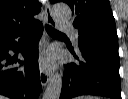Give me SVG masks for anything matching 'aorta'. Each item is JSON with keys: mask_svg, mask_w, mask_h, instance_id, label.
<instances>
[{"mask_svg": "<svg viewBox=\"0 0 128 99\" xmlns=\"http://www.w3.org/2000/svg\"><path fill=\"white\" fill-rule=\"evenodd\" d=\"M52 12L56 20L60 22L69 21L72 15L70 7L63 2L56 3L52 8ZM61 89H62V78L57 73L51 78L43 95V99H59L61 94Z\"/></svg>", "mask_w": 128, "mask_h": 99, "instance_id": "762f6f07", "label": "aorta"}]
</instances>
